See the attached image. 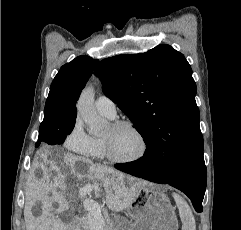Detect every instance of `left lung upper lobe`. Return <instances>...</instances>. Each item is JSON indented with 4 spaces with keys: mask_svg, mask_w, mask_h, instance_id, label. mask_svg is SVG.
Returning <instances> with one entry per match:
<instances>
[{
    "mask_svg": "<svg viewBox=\"0 0 241 230\" xmlns=\"http://www.w3.org/2000/svg\"><path fill=\"white\" fill-rule=\"evenodd\" d=\"M94 73L147 146L161 142L174 165L203 151L196 83L183 54L162 44L146 53L106 58Z\"/></svg>",
    "mask_w": 241,
    "mask_h": 230,
    "instance_id": "5c2ea615",
    "label": "left lung upper lobe"
}]
</instances>
